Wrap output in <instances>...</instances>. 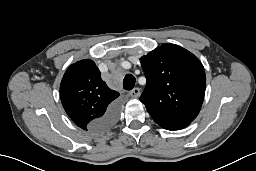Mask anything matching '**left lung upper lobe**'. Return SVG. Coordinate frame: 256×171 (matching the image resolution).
Returning <instances> with one entry per match:
<instances>
[{
    "label": "left lung upper lobe",
    "mask_w": 256,
    "mask_h": 171,
    "mask_svg": "<svg viewBox=\"0 0 256 171\" xmlns=\"http://www.w3.org/2000/svg\"><path fill=\"white\" fill-rule=\"evenodd\" d=\"M147 85L140 97L153 120L167 130L187 127L199 114L206 76L188 50L164 44L140 58Z\"/></svg>",
    "instance_id": "1"
}]
</instances>
